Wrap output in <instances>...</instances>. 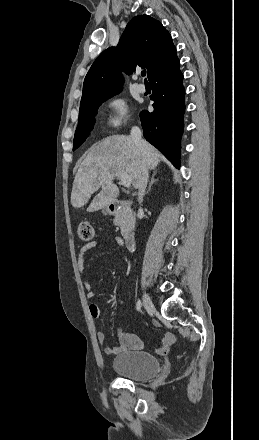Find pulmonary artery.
Masks as SVG:
<instances>
[{"label": "pulmonary artery", "mask_w": 259, "mask_h": 440, "mask_svg": "<svg viewBox=\"0 0 259 440\" xmlns=\"http://www.w3.org/2000/svg\"><path fill=\"white\" fill-rule=\"evenodd\" d=\"M136 87H137V90H138L140 93H144V92L146 91L145 85L142 84V83L137 84Z\"/></svg>", "instance_id": "1"}]
</instances>
